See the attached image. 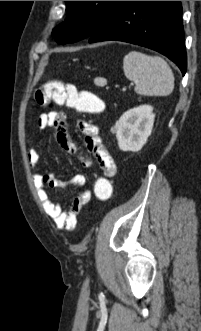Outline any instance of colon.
I'll return each instance as SVG.
<instances>
[{
  "label": "colon",
  "instance_id": "5ec220e1",
  "mask_svg": "<svg viewBox=\"0 0 201 331\" xmlns=\"http://www.w3.org/2000/svg\"><path fill=\"white\" fill-rule=\"evenodd\" d=\"M36 102L39 105H65L87 114L99 113L103 109V102L96 95L80 91L74 85L58 80L44 83L36 92ZM113 192L110 178L99 176L94 184V196L98 201H108Z\"/></svg>",
  "mask_w": 201,
  "mask_h": 331
}]
</instances>
